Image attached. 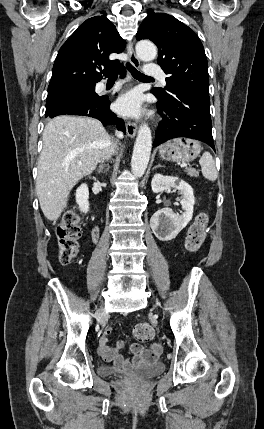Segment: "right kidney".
<instances>
[{
	"instance_id": "right-kidney-1",
	"label": "right kidney",
	"mask_w": 264,
	"mask_h": 429,
	"mask_svg": "<svg viewBox=\"0 0 264 429\" xmlns=\"http://www.w3.org/2000/svg\"><path fill=\"white\" fill-rule=\"evenodd\" d=\"M89 190L87 184H81L76 190V203L80 210L87 213L89 210Z\"/></svg>"
}]
</instances>
